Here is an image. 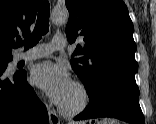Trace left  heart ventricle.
Returning <instances> with one entry per match:
<instances>
[{"label":"left heart ventricle","mask_w":156,"mask_h":124,"mask_svg":"<svg viewBox=\"0 0 156 124\" xmlns=\"http://www.w3.org/2000/svg\"><path fill=\"white\" fill-rule=\"evenodd\" d=\"M81 103V94L78 89L73 85L66 97L64 98L61 106L72 109L78 106Z\"/></svg>","instance_id":"left-heart-ventricle-1"}]
</instances>
